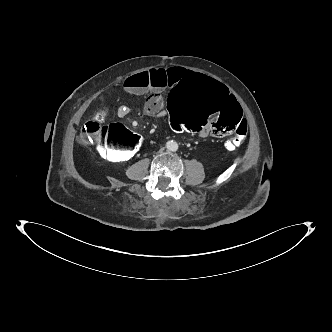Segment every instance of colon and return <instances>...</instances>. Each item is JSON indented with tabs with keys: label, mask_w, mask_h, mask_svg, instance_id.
<instances>
[{
	"label": "colon",
	"mask_w": 332,
	"mask_h": 332,
	"mask_svg": "<svg viewBox=\"0 0 332 332\" xmlns=\"http://www.w3.org/2000/svg\"><path fill=\"white\" fill-rule=\"evenodd\" d=\"M166 116L179 132L202 136H221L234 133L226 140L228 150L238 148L248 134L238 100L214 78L200 73L182 77L169 94ZM85 144L106 147L105 155L122 162L143 147L139 135L113 125L103 130L97 119L88 120L81 128ZM108 144V145H107Z\"/></svg>",
	"instance_id": "1"
}]
</instances>
